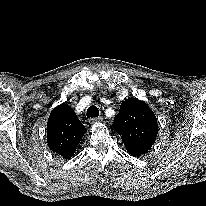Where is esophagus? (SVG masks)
<instances>
[{
	"label": "esophagus",
	"mask_w": 206,
	"mask_h": 206,
	"mask_svg": "<svg viewBox=\"0 0 206 206\" xmlns=\"http://www.w3.org/2000/svg\"><path fill=\"white\" fill-rule=\"evenodd\" d=\"M102 120H103V118H102V117H98V118H91V119L89 120V123H90L91 125H95V124L100 123Z\"/></svg>",
	"instance_id": "obj_1"
}]
</instances>
